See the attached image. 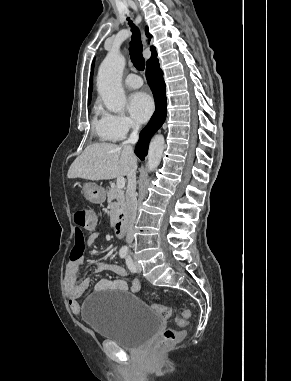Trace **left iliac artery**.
Returning <instances> with one entry per match:
<instances>
[{"label":"left iliac artery","mask_w":291,"mask_h":381,"mask_svg":"<svg viewBox=\"0 0 291 381\" xmlns=\"http://www.w3.org/2000/svg\"><path fill=\"white\" fill-rule=\"evenodd\" d=\"M126 264H127L128 269H129L131 272L134 273V272H135V266H134L133 261H132V259H131L130 256H128V257L126 258Z\"/></svg>","instance_id":"obj_1"}]
</instances>
